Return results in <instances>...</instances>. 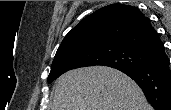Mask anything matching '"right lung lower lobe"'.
<instances>
[{"instance_id": "98d812e1", "label": "right lung lower lobe", "mask_w": 171, "mask_h": 110, "mask_svg": "<svg viewBox=\"0 0 171 110\" xmlns=\"http://www.w3.org/2000/svg\"><path fill=\"white\" fill-rule=\"evenodd\" d=\"M164 46L152 54V60L137 68L118 69L143 90L155 110H171V70Z\"/></svg>"}]
</instances>
